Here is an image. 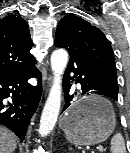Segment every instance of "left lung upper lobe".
<instances>
[{
	"label": "left lung upper lobe",
	"instance_id": "left-lung-upper-lobe-1",
	"mask_svg": "<svg viewBox=\"0 0 130 153\" xmlns=\"http://www.w3.org/2000/svg\"><path fill=\"white\" fill-rule=\"evenodd\" d=\"M55 41H61L75 56L86 59L101 68L118 90L113 50L98 28L80 17L68 14L57 26Z\"/></svg>",
	"mask_w": 130,
	"mask_h": 153
}]
</instances>
